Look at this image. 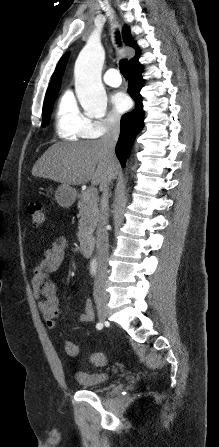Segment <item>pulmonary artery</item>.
Returning a JSON list of instances; mask_svg holds the SVG:
<instances>
[{
    "label": "pulmonary artery",
    "instance_id": "e3ab8cb5",
    "mask_svg": "<svg viewBox=\"0 0 219 447\" xmlns=\"http://www.w3.org/2000/svg\"><path fill=\"white\" fill-rule=\"evenodd\" d=\"M104 82L111 87H118L122 83V78L117 69L111 68L104 74Z\"/></svg>",
    "mask_w": 219,
    "mask_h": 447
}]
</instances>
